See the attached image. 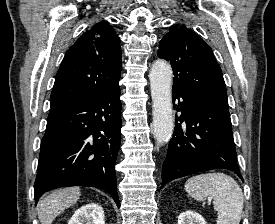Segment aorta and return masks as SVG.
Here are the masks:
<instances>
[{"label":"aorta","mask_w":275,"mask_h":224,"mask_svg":"<svg viewBox=\"0 0 275 224\" xmlns=\"http://www.w3.org/2000/svg\"><path fill=\"white\" fill-rule=\"evenodd\" d=\"M150 89L153 102V132L157 143L170 140L174 130L172 111V69L164 60H157L150 71Z\"/></svg>","instance_id":"aorta-1"}]
</instances>
